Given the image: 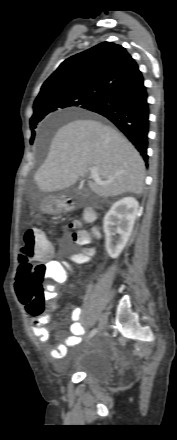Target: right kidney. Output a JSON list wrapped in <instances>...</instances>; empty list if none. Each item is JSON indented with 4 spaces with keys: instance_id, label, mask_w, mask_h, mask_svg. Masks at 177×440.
I'll return each instance as SVG.
<instances>
[{
    "instance_id": "ca27d5eb",
    "label": "right kidney",
    "mask_w": 177,
    "mask_h": 440,
    "mask_svg": "<svg viewBox=\"0 0 177 440\" xmlns=\"http://www.w3.org/2000/svg\"><path fill=\"white\" fill-rule=\"evenodd\" d=\"M139 204L133 197H125L113 204L103 220L106 236L105 247L108 255L116 259L126 246L132 233L135 219L138 215ZM118 225L117 228H114ZM119 234L117 241L113 236Z\"/></svg>"
}]
</instances>
